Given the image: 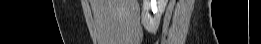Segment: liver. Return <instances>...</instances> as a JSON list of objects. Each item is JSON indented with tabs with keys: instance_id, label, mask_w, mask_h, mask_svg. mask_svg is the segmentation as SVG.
Returning <instances> with one entry per match:
<instances>
[{
	"instance_id": "1",
	"label": "liver",
	"mask_w": 261,
	"mask_h": 44,
	"mask_svg": "<svg viewBox=\"0 0 261 44\" xmlns=\"http://www.w3.org/2000/svg\"><path fill=\"white\" fill-rule=\"evenodd\" d=\"M97 25L98 44H133L138 41L137 0H90Z\"/></svg>"
}]
</instances>
